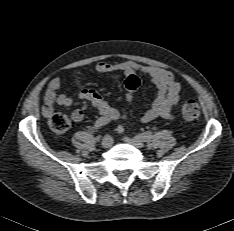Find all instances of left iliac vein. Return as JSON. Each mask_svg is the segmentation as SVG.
I'll list each match as a JSON object with an SVG mask.
<instances>
[{
    "label": "left iliac vein",
    "instance_id": "obj_1",
    "mask_svg": "<svg viewBox=\"0 0 234 231\" xmlns=\"http://www.w3.org/2000/svg\"><path fill=\"white\" fill-rule=\"evenodd\" d=\"M123 140L125 142L135 146L136 148H143L144 147V143L139 139L124 136Z\"/></svg>",
    "mask_w": 234,
    "mask_h": 231
}]
</instances>
